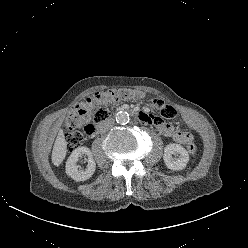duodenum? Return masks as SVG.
Listing matches in <instances>:
<instances>
[{"label":"duodenum","instance_id":"duodenum-1","mask_svg":"<svg viewBox=\"0 0 248 248\" xmlns=\"http://www.w3.org/2000/svg\"><path fill=\"white\" fill-rule=\"evenodd\" d=\"M120 110H122V111H130V109L129 108H126V107H122V108H120ZM134 114L137 117H139L140 119H142V117L144 115L142 112H134ZM98 128H100V125L98 126Z\"/></svg>","mask_w":248,"mask_h":248}]
</instances>
